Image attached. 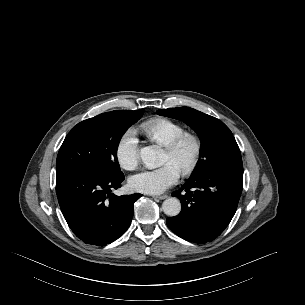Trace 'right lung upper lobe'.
<instances>
[{
	"mask_svg": "<svg viewBox=\"0 0 305 305\" xmlns=\"http://www.w3.org/2000/svg\"><path fill=\"white\" fill-rule=\"evenodd\" d=\"M120 111L126 112L127 110H120Z\"/></svg>",
	"mask_w": 305,
	"mask_h": 305,
	"instance_id": "obj_1",
	"label": "right lung upper lobe"
}]
</instances>
